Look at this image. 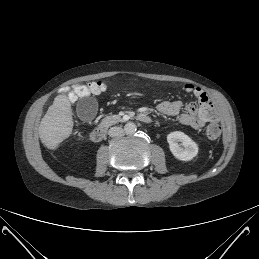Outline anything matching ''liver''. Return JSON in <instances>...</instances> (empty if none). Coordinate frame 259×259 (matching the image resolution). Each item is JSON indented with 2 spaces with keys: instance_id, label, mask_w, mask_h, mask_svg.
<instances>
[{
  "instance_id": "obj_1",
  "label": "liver",
  "mask_w": 259,
  "mask_h": 259,
  "mask_svg": "<svg viewBox=\"0 0 259 259\" xmlns=\"http://www.w3.org/2000/svg\"><path fill=\"white\" fill-rule=\"evenodd\" d=\"M71 103L65 93L55 97L39 126L41 142L51 150L67 139L73 130Z\"/></svg>"
}]
</instances>
